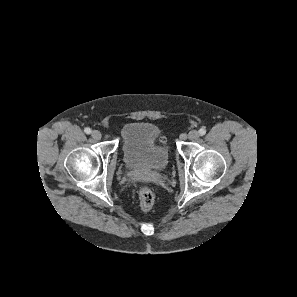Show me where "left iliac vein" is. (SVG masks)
<instances>
[{
  "mask_svg": "<svg viewBox=\"0 0 297 297\" xmlns=\"http://www.w3.org/2000/svg\"><path fill=\"white\" fill-rule=\"evenodd\" d=\"M188 138L191 141H196L199 138V133L196 130H191L188 134Z\"/></svg>",
  "mask_w": 297,
  "mask_h": 297,
  "instance_id": "4c4485c4",
  "label": "left iliac vein"
}]
</instances>
